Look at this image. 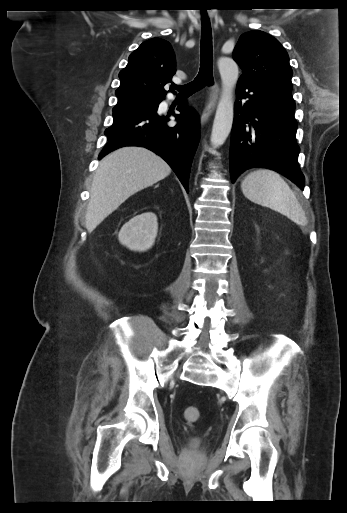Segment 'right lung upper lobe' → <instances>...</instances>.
Wrapping results in <instances>:
<instances>
[{"label": "right lung upper lobe", "instance_id": "obj_1", "mask_svg": "<svg viewBox=\"0 0 347 513\" xmlns=\"http://www.w3.org/2000/svg\"><path fill=\"white\" fill-rule=\"evenodd\" d=\"M175 57L169 42L152 38L143 42L128 59L119 73L120 87L116 91V106L134 105L156 100L167 94L164 86L175 74Z\"/></svg>", "mask_w": 347, "mask_h": 513}]
</instances>
